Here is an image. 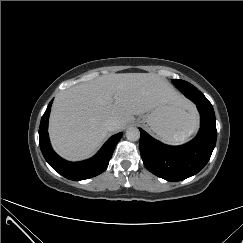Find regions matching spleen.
Returning <instances> with one entry per match:
<instances>
[{
    "label": "spleen",
    "instance_id": "spleen-1",
    "mask_svg": "<svg viewBox=\"0 0 243 243\" xmlns=\"http://www.w3.org/2000/svg\"><path fill=\"white\" fill-rule=\"evenodd\" d=\"M181 142H183V141H178V142H176V143H181Z\"/></svg>",
    "mask_w": 243,
    "mask_h": 243
}]
</instances>
